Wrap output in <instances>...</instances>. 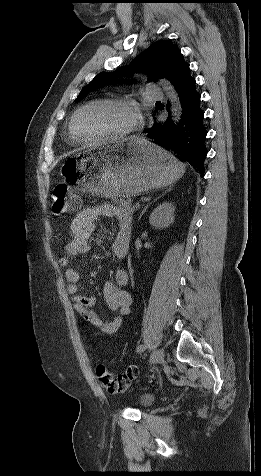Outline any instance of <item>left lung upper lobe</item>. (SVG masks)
Listing matches in <instances>:
<instances>
[{
    "instance_id": "5c2ea615",
    "label": "left lung upper lobe",
    "mask_w": 261,
    "mask_h": 476,
    "mask_svg": "<svg viewBox=\"0 0 261 476\" xmlns=\"http://www.w3.org/2000/svg\"><path fill=\"white\" fill-rule=\"evenodd\" d=\"M188 66L177 45L169 40H161L135 57L129 65L120 67L113 72L97 74L89 84L83 87L77 99L85 97L87 92L102 86L126 82L123 80L124 77L140 70L144 71L149 79L164 77L175 85L181 73Z\"/></svg>"
}]
</instances>
